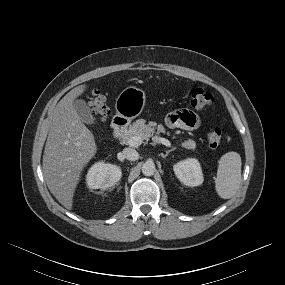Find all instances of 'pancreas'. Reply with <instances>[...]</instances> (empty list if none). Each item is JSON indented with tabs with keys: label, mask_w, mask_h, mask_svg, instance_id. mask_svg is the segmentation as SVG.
I'll use <instances>...</instances> for the list:
<instances>
[{
	"label": "pancreas",
	"mask_w": 285,
	"mask_h": 285,
	"mask_svg": "<svg viewBox=\"0 0 285 285\" xmlns=\"http://www.w3.org/2000/svg\"><path fill=\"white\" fill-rule=\"evenodd\" d=\"M155 129H157L156 134L166 132L162 124L157 125L155 122H149L146 124V121L144 119H138L121 135V138L126 143L132 136H140L143 140H148L155 133ZM154 138L155 137H153V139ZM181 146L185 149L195 150L196 143L194 140L189 139L182 142Z\"/></svg>",
	"instance_id": "cf45deb5"
}]
</instances>
